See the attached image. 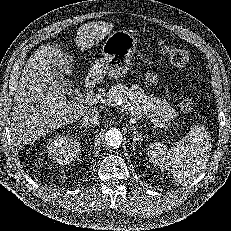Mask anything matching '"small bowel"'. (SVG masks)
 <instances>
[{
	"mask_svg": "<svg viewBox=\"0 0 231 231\" xmlns=\"http://www.w3.org/2000/svg\"><path fill=\"white\" fill-rule=\"evenodd\" d=\"M150 78H153V79H154L155 77H154L153 75H150Z\"/></svg>",
	"mask_w": 231,
	"mask_h": 231,
	"instance_id": "c3829d8e",
	"label": "small bowel"
}]
</instances>
